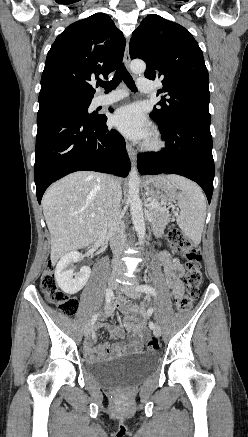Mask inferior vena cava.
I'll use <instances>...</instances> for the list:
<instances>
[{
    "label": "inferior vena cava",
    "instance_id": "1",
    "mask_svg": "<svg viewBox=\"0 0 248 437\" xmlns=\"http://www.w3.org/2000/svg\"><path fill=\"white\" fill-rule=\"evenodd\" d=\"M122 191L120 184L113 176H106V201L104 226L110 232V246L114 255L113 266H121L120 254L126 246L124 222L120 216Z\"/></svg>",
    "mask_w": 248,
    "mask_h": 437
}]
</instances>
